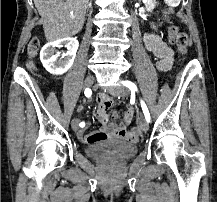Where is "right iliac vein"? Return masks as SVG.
Listing matches in <instances>:
<instances>
[{
	"instance_id": "1",
	"label": "right iliac vein",
	"mask_w": 217,
	"mask_h": 202,
	"mask_svg": "<svg viewBox=\"0 0 217 202\" xmlns=\"http://www.w3.org/2000/svg\"><path fill=\"white\" fill-rule=\"evenodd\" d=\"M94 83V77L93 76H88L85 81H84V87L89 88L93 85ZM78 124H79V119L74 118L71 122V127L74 131L78 130Z\"/></svg>"
}]
</instances>
